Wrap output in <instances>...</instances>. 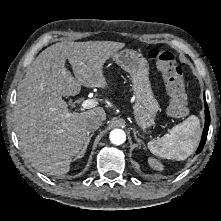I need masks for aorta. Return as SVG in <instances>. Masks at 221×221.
I'll return each instance as SVG.
<instances>
[{
  "label": "aorta",
  "instance_id": "762f6f07",
  "mask_svg": "<svg viewBox=\"0 0 221 221\" xmlns=\"http://www.w3.org/2000/svg\"><path fill=\"white\" fill-rule=\"evenodd\" d=\"M109 138L111 143L115 145H121L126 140V134L121 129H114L110 132Z\"/></svg>",
  "mask_w": 221,
  "mask_h": 221
}]
</instances>
